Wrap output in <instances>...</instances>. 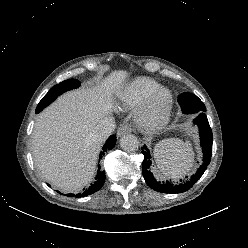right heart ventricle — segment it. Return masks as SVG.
Instances as JSON below:
<instances>
[{
    "mask_svg": "<svg viewBox=\"0 0 248 248\" xmlns=\"http://www.w3.org/2000/svg\"><path fill=\"white\" fill-rule=\"evenodd\" d=\"M161 88V84L151 78L138 77L129 82L118 94L122 109L139 107L150 95Z\"/></svg>",
    "mask_w": 248,
    "mask_h": 248,
    "instance_id": "1",
    "label": "right heart ventricle"
}]
</instances>
